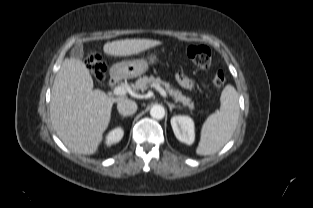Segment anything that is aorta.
<instances>
[{
  "label": "aorta",
  "instance_id": "1",
  "mask_svg": "<svg viewBox=\"0 0 313 208\" xmlns=\"http://www.w3.org/2000/svg\"><path fill=\"white\" fill-rule=\"evenodd\" d=\"M150 115L152 118L160 120V119L164 118V116H165V109L161 105H154L150 109Z\"/></svg>",
  "mask_w": 313,
  "mask_h": 208
}]
</instances>
